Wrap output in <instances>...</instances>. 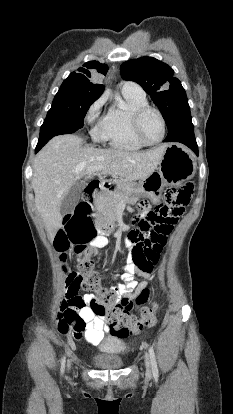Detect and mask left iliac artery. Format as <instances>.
<instances>
[{"mask_svg": "<svg viewBox=\"0 0 233 414\" xmlns=\"http://www.w3.org/2000/svg\"><path fill=\"white\" fill-rule=\"evenodd\" d=\"M149 355H150L151 364H152V373L154 377H158V367H157L155 352L152 347L149 348Z\"/></svg>", "mask_w": 233, "mask_h": 414, "instance_id": "obj_1", "label": "left iliac artery"}]
</instances>
